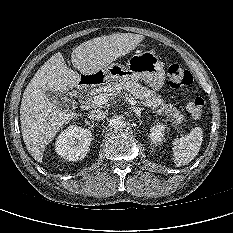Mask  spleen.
Returning <instances> with one entry per match:
<instances>
[{"mask_svg":"<svg viewBox=\"0 0 233 233\" xmlns=\"http://www.w3.org/2000/svg\"><path fill=\"white\" fill-rule=\"evenodd\" d=\"M203 141L201 127H195L190 133L172 142L173 158L177 167L190 163L198 154Z\"/></svg>","mask_w":233,"mask_h":233,"instance_id":"obj_1","label":"spleen"}]
</instances>
